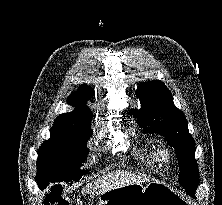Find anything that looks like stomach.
Instances as JSON below:
<instances>
[{"mask_svg": "<svg viewBox=\"0 0 222 205\" xmlns=\"http://www.w3.org/2000/svg\"><path fill=\"white\" fill-rule=\"evenodd\" d=\"M97 205H191L173 188L158 181L129 184L99 195Z\"/></svg>", "mask_w": 222, "mask_h": 205, "instance_id": "obj_1", "label": "stomach"}]
</instances>
